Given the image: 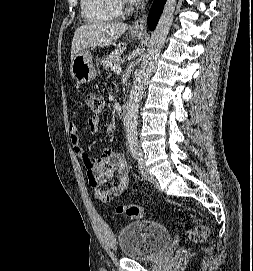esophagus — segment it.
<instances>
[{
	"mask_svg": "<svg viewBox=\"0 0 253 271\" xmlns=\"http://www.w3.org/2000/svg\"><path fill=\"white\" fill-rule=\"evenodd\" d=\"M132 31L135 33L145 34L147 31V13L140 16L132 24Z\"/></svg>",
	"mask_w": 253,
	"mask_h": 271,
	"instance_id": "obj_1",
	"label": "esophagus"
}]
</instances>
